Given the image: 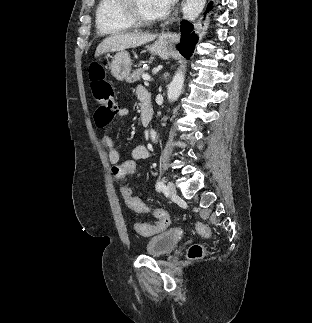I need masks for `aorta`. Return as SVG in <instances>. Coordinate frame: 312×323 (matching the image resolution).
I'll use <instances>...</instances> for the list:
<instances>
[{
  "label": "aorta",
  "instance_id": "obj_1",
  "mask_svg": "<svg viewBox=\"0 0 312 323\" xmlns=\"http://www.w3.org/2000/svg\"><path fill=\"white\" fill-rule=\"evenodd\" d=\"M183 86H184V76L182 72H178V74H175L172 82H170L168 86V92H167L168 100H171V102H175V100H178L182 92ZM150 136H151L152 142H157L158 136L155 130H151Z\"/></svg>",
  "mask_w": 312,
  "mask_h": 323
}]
</instances>
